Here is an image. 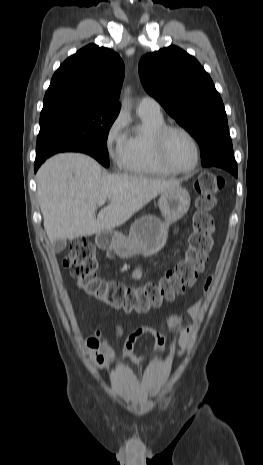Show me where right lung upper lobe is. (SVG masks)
Instances as JSON below:
<instances>
[{
  "mask_svg": "<svg viewBox=\"0 0 263 465\" xmlns=\"http://www.w3.org/2000/svg\"><path fill=\"white\" fill-rule=\"evenodd\" d=\"M124 64L111 49L89 44L64 61L54 73L43 105L77 102L120 110Z\"/></svg>",
  "mask_w": 263,
  "mask_h": 465,
  "instance_id": "right-lung-upper-lobe-1",
  "label": "right lung upper lobe"
}]
</instances>
